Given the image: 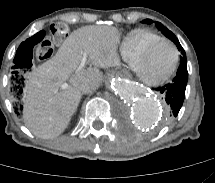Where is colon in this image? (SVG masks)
<instances>
[{"instance_id":"1","label":"colon","mask_w":215,"mask_h":183,"mask_svg":"<svg viewBox=\"0 0 215 183\" xmlns=\"http://www.w3.org/2000/svg\"><path fill=\"white\" fill-rule=\"evenodd\" d=\"M69 28L63 22L54 23L44 30H36L32 37L23 39L22 43L17 45L15 58L8 63V71L11 82V112L18 121L24 119L25 114L22 111V100L24 99L25 75L33 66L34 61H45L49 59L54 52V43L63 41L68 37Z\"/></svg>"}]
</instances>
